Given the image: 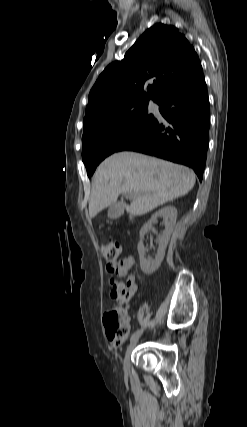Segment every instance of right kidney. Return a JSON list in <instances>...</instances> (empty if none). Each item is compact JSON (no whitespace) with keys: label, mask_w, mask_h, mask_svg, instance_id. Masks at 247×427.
<instances>
[{"label":"right kidney","mask_w":247,"mask_h":427,"mask_svg":"<svg viewBox=\"0 0 247 427\" xmlns=\"http://www.w3.org/2000/svg\"><path fill=\"white\" fill-rule=\"evenodd\" d=\"M159 217H162L164 219L165 224V230L161 235L158 236V243L159 247L157 250V253L155 255V259H146L145 258V247L143 244V239L145 234L148 233V231L152 230L155 232V229L153 228V223L157 222V219ZM176 219H177V209L173 206H165L155 212L151 219L143 225V227L140 230V242L138 244V253L140 257V267L144 274L150 275L154 273L159 266L161 265V262L164 259L165 256V250L168 245V242L170 240V236L175 228L176 225Z\"/></svg>","instance_id":"right-kidney-1"}]
</instances>
